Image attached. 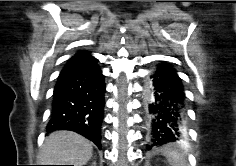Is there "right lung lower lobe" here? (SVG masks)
Instances as JSON below:
<instances>
[{"instance_id": "1", "label": "right lung lower lobe", "mask_w": 236, "mask_h": 166, "mask_svg": "<svg viewBox=\"0 0 236 166\" xmlns=\"http://www.w3.org/2000/svg\"><path fill=\"white\" fill-rule=\"evenodd\" d=\"M105 91L104 76L96 59L66 65L54 88L48 133L75 131L100 149Z\"/></svg>"}]
</instances>
